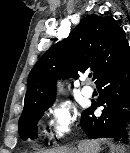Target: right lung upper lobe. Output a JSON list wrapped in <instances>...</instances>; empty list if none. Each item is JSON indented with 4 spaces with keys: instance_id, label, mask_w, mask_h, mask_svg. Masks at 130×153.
<instances>
[{
    "instance_id": "obj_1",
    "label": "right lung upper lobe",
    "mask_w": 130,
    "mask_h": 153,
    "mask_svg": "<svg viewBox=\"0 0 130 153\" xmlns=\"http://www.w3.org/2000/svg\"><path fill=\"white\" fill-rule=\"evenodd\" d=\"M128 56L125 32L113 17L92 14L83 18L68 38L54 44L31 70L23 113L53 102L58 78L78 77L79 72L91 69L97 80Z\"/></svg>"
}]
</instances>
